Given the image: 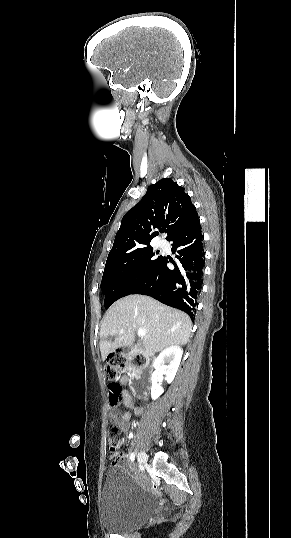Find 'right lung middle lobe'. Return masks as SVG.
I'll use <instances>...</instances> for the list:
<instances>
[{"instance_id": "obj_1", "label": "right lung middle lobe", "mask_w": 291, "mask_h": 538, "mask_svg": "<svg viewBox=\"0 0 291 538\" xmlns=\"http://www.w3.org/2000/svg\"><path fill=\"white\" fill-rule=\"evenodd\" d=\"M162 256L155 257L153 249L145 247L106 261L101 289L108 309L116 300L132 294L151 273Z\"/></svg>"}]
</instances>
